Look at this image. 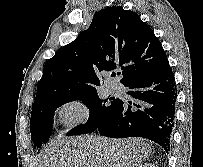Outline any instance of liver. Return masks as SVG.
<instances>
[{
	"mask_svg": "<svg viewBox=\"0 0 203 167\" xmlns=\"http://www.w3.org/2000/svg\"><path fill=\"white\" fill-rule=\"evenodd\" d=\"M151 152L140 138L62 137L41 151L36 167H138Z\"/></svg>",
	"mask_w": 203,
	"mask_h": 167,
	"instance_id": "obj_1",
	"label": "liver"
}]
</instances>
